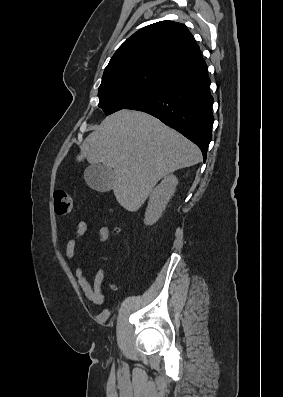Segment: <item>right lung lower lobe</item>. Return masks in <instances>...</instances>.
Instances as JSON below:
<instances>
[{
    "instance_id": "1",
    "label": "right lung lower lobe",
    "mask_w": 283,
    "mask_h": 397,
    "mask_svg": "<svg viewBox=\"0 0 283 397\" xmlns=\"http://www.w3.org/2000/svg\"><path fill=\"white\" fill-rule=\"evenodd\" d=\"M210 83L206 66L168 81L125 109L151 114L179 131L201 149L205 162L214 122Z\"/></svg>"
}]
</instances>
